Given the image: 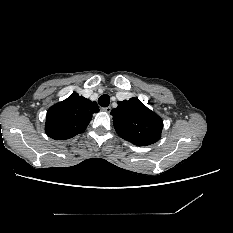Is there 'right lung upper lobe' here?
I'll use <instances>...</instances> for the list:
<instances>
[{
  "mask_svg": "<svg viewBox=\"0 0 233 233\" xmlns=\"http://www.w3.org/2000/svg\"><path fill=\"white\" fill-rule=\"evenodd\" d=\"M99 107L77 93L49 108L45 131L55 140H65L83 133Z\"/></svg>",
  "mask_w": 233,
  "mask_h": 233,
  "instance_id": "obj_1",
  "label": "right lung upper lobe"
}]
</instances>
